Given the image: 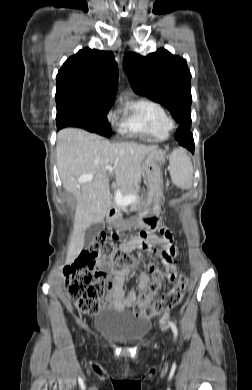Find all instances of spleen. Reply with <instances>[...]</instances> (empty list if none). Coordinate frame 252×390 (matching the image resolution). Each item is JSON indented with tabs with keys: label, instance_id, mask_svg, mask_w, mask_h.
Returning a JSON list of instances; mask_svg holds the SVG:
<instances>
[{
	"label": "spleen",
	"instance_id": "spleen-1",
	"mask_svg": "<svg viewBox=\"0 0 252 390\" xmlns=\"http://www.w3.org/2000/svg\"><path fill=\"white\" fill-rule=\"evenodd\" d=\"M169 172L174 185L190 189L193 179V166L189 156L182 149H175L169 156Z\"/></svg>",
	"mask_w": 252,
	"mask_h": 390
}]
</instances>
